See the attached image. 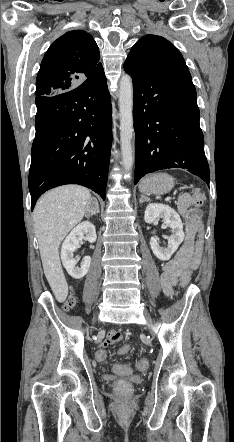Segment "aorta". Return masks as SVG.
I'll return each instance as SVG.
<instances>
[{"mask_svg": "<svg viewBox=\"0 0 234 442\" xmlns=\"http://www.w3.org/2000/svg\"><path fill=\"white\" fill-rule=\"evenodd\" d=\"M119 111H120V142L122 164L126 172L130 171L134 163L132 148L133 128V82L130 75H123L119 83Z\"/></svg>", "mask_w": 234, "mask_h": 442, "instance_id": "762f6f07", "label": "aorta"}]
</instances>
